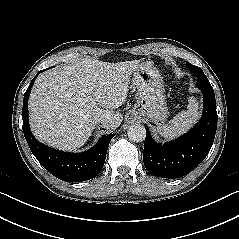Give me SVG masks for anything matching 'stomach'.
Wrapping results in <instances>:
<instances>
[{"instance_id":"obj_1","label":"stomach","mask_w":239,"mask_h":239,"mask_svg":"<svg viewBox=\"0 0 239 239\" xmlns=\"http://www.w3.org/2000/svg\"><path fill=\"white\" fill-rule=\"evenodd\" d=\"M133 83L138 90V99L131 117H147L156 125L164 123L169 112L159 71L151 64L141 63L133 72Z\"/></svg>"}]
</instances>
